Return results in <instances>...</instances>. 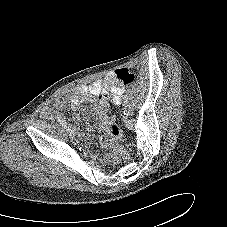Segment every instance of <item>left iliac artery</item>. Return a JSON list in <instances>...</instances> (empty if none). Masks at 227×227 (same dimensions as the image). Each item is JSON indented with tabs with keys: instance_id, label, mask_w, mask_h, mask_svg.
Masks as SVG:
<instances>
[{
	"instance_id": "left-iliac-artery-1",
	"label": "left iliac artery",
	"mask_w": 227,
	"mask_h": 227,
	"mask_svg": "<svg viewBox=\"0 0 227 227\" xmlns=\"http://www.w3.org/2000/svg\"><path fill=\"white\" fill-rule=\"evenodd\" d=\"M123 103H124V105H126V104H128V98L125 96L124 98H123Z\"/></svg>"
}]
</instances>
